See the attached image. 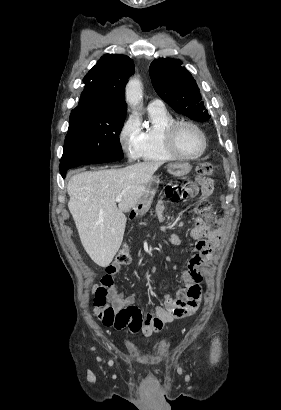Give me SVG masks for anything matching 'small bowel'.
Listing matches in <instances>:
<instances>
[{
  "instance_id": "obj_1",
  "label": "small bowel",
  "mask_w": 281,
  "mask_h": 410,
  "mask_svg": "<svg viewBox=\"0 0 281 410\" xmlns=\"http://www.w3.org/2000/svg\"><path fill=\"white\" fill-rule=\"evenodd\" d=\"M197 191H200L202 197L206 199L212 194L213 181L198 176L193 193ZM156 214L158 220L163 222L165 219L164 201L157 204ZM189 235L197 241L196 253L189 259L186 269L182 272V287L174 296L165 294L164 306L152 308L145 320L141 315L139 325L131 332H141L145 336H150L152 333L160 331L165 323L177 317L188 316L196 310L190 309L188 302L192 296L200 300V283L203 279L201 267L214 255L221 239L219 224L209 208L202 204V201L198 202L193 210V225ZM120 268L121 265L116 263L106 267V274L101 279V286L94 301V312L97 316L107 308L122 312L139 310L135 305L134 296L119 294L115 288L114 279ZM130 321H133L132 318Z\"/></svg>"
}]
</instances>
